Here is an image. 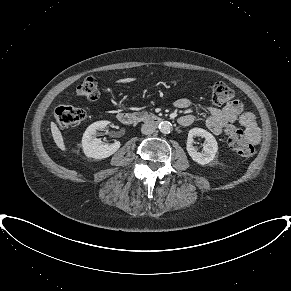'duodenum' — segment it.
<instances>
[{"instance_id":"duodenum-1","label":"duodenum","mask_w":291,"mask_h":291,"mask_svg":"<svg viewBox=\"0 0 291 291\" xmlns=\"http://www.w3.org/2000/svg\"><path fill=\"white\" fill-rule=\"evenodd\" d=\"M117 119L120 123L124 125H130V124H133L138 119V116L130 112H120L117 114ZM143 119L145 121L155 123V124L161 121V119L155 115H147L143 117Z\"/></svg>"}]
</instances>
